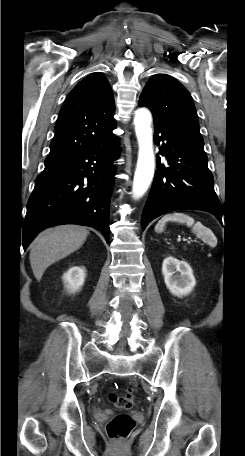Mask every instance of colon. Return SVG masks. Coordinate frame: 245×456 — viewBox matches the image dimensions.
<instances>
[{
	"label": "colon",
	"mask_w": 245,
	"mask_h": 456,
	"mask_svg": "<svg viewBox=\"0 0 245 456\" xmlns=\"http://www.w3.org/2000/svg\"><path fill=\"white\" fill-rule=\"evenodd\" d=\"M109 400L118 408L126 410L132 408L134 405L133 386L130 385L123 394L111 392ZM134 425L135 423L131 416L119 414L107 424V434L114 440H123L130 434Z\"/></svg>",
	"instance_id": "5ec220e1"
}]
</instances>
